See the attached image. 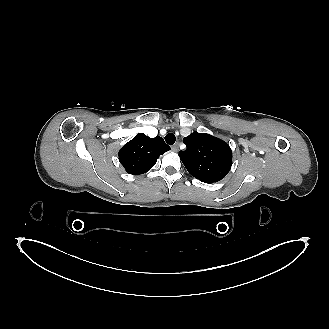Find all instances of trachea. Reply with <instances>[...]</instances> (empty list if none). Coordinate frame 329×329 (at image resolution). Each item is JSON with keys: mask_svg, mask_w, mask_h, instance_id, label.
I'll return each instance as SVG.
<instances>
[{"mask_svg": "<svg viewBox=\"0 0 329 329\" xmlns=\"http://www.w3.org/2000/svg\"><path fill=\"white\" fill-rule=\"evenodd\" d=\"M175 140H176L175 135L172 134V133H169V134H167V135L165 136V141H166V143H168L169 145L174 144V143H175Z\"/></svg>", "mask_w": 329, "mask_h": 329, "instance_id": "1", "label": "trachea"}]
</instances>
